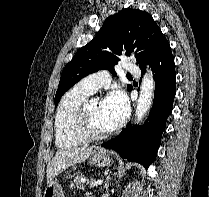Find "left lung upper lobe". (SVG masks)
<instances>
[{
	"instance_id": "obj_1",
	"label": "left lung upper lobe",
	"mask_w": 209,
	"mask_h": 197,
	"mask_svg": "<svg viewBox=\"0 0 209 197\" xmlns=\"http://www.w3.org/2000/svg\"><path fill=\"white\" fill-rule=\"evenodd\" d=\"M164 41L166 38L159 26L145 11L127 8L109 16L92 41L80 48L64 67L55 106L67 90L88 74L107 69L115 76L113 67L124 49L126 55L135 53L140 67L149 61ZM128 90H131L129 85Z\"/></svg>"
}]
</instances>
